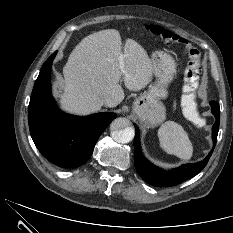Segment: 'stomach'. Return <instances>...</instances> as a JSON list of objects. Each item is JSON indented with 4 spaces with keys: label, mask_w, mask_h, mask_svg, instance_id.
Listing matches in <instances>:
<instances>
[{
    "label": "stomach",
    "mask_w": 233,
    "mask_h": 233,
    "mask_svg": "<svg viewBox=\"0 0 233 233\" xmlns=\"http://www.w3.org/2000/svg\"><path fill=\"white\" fill-rule=\"evenodd\" d=\"M151 61L155 81L134 101L133 114L142 124L155 127L166 118L161 100L168 96L167 87L174 78L176 63L171 55L162 51L154 52Z\"/></svg>",
    "instance_id": "obj_1"
}]
</instances>
